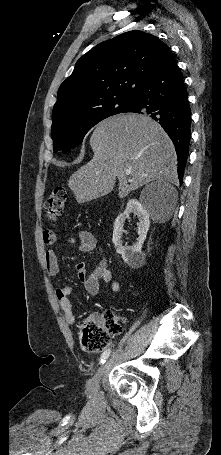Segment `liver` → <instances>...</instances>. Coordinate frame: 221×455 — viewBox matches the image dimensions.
I'll return each mask as SVG.
<instances>
[{
    "mask_svg": "<svg viewBox=\"0 0 221 455\" xmlns=\"http://www.w3.org/2000/svg\"><path fill=\"white\" fill-rule=\"evenodd\" d=\"M90 145L93 158L68 181L78 203L109 194L116 179L119 198L153 180L177 182L174 145L150 117L134 113L109 117L96 126Z\"/></svg>",
    "mask_w": 221,
    "mask_h": 455,
    "instance_id": "6515ba94",
    "label": "liver"
}]
</instances>
